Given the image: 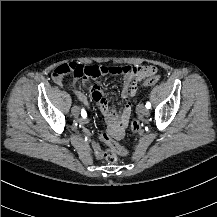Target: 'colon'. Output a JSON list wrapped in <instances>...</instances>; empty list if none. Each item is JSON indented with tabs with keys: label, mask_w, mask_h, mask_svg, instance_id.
Listing matches in <instances>:
<instances>
[{
	"label": "colon",
	"mask_w": 217,
	"mask_h": 217,
	"mask_svg": "<svg viewBox=\"0 0 217 217\" xmlns=\"http://www.w3.org/2000/svg\"><path fill=\"white\" fill-rule=\"evenodd\" d=\"M156 68L148 65H142V66H132L127 64L122 65H91V66H85V65H79L77 62L72 63H65L63 66L57 68L54 71V76L56 78L61 79H68L69 77L74 78H82V77H90V78H96L99 77L102 74H132L135 75L137 78H140L142 75L146 73H150L151 70H154ZM159 79L158 73L154 75L153 77L147 78L146 80H142L141 82L145 86H151L155 83H157ZM131 129L134 132H137L140 130V125L136 120L131 121ZM97 137L105 142V144L108 146V148L111 146L112 148L116 149L118 153L123 155H128V150L125 149L123 146H121L119 143H117L113 138L106 135L105 133L99 132L97 134ZM105 158L108 162L111 164H114L117 161L116 153L112 151L110 148L105 151Z\"/></svg>",
	"instance_id": "5ec220e1"
}]
</instances>
